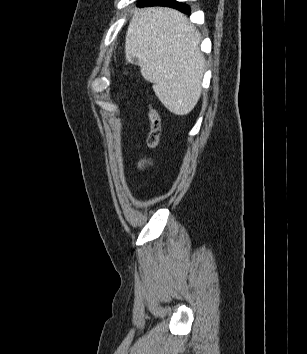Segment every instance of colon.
Returning <instances> with one entry per match:
<instances>
[{
	"mask_svg": "<svg viewBox=\"0 0 307 354\" xmlns=\"http://www.w3.org/2000/svg\"><path fill=\"white\" fill-rule=\"evenodd\" d=\"M149 119H150V131L147 137V142L150 147H154L157 145L159 140L160 133V117L158 112L155 109H150L149 111ZM149 162L147 160H143L139 166L144 169L147 167Z\"/></svg>",
	"mask_w": 307,
	"mask_h": 354,
	"instance_id": "1",
	"label": "colon"
}]
</instances>
